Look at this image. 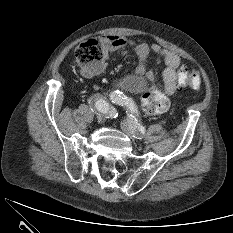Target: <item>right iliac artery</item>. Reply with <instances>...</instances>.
I'll list each match as a JSON object with an SVG mask.
<instances>
[{
  "label": "right iliac artery",
  "instance_id": "1",
  "mask_svg": "<svg viewBox=\"0 0 233 233\" xmlns=\"http://www.w3.org/2000/svg\"><path fill=\"white\" fill-rule=\"evenodd\" d=\"M89 104L99 112L105 113L110 117L117 116L115 109L109 104L108 101L105 100V98L100 95H93L89 99Z\"/></svg>",
  "mask_w": 233,
  "mask_h": 233
}]
</instances>
